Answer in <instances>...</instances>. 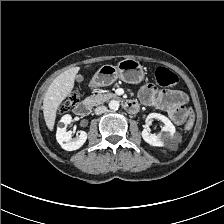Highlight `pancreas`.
<instances>
[{
  "instance_id": "obj_1",
  "label": "pancreas",
  "mask_w": 224,
  "mask_h": 224,
  "mask_svg": "<svg viewBox=\"0 0 224 224\" xmlns=\"http://www.w3.org/2000/svg\"><path fill=\"white\" fill-rule=\"evenodd\" d=\"M115 97V94H97V95H94L93 96V99L95 101L96 104H101V103H104L106 102L107 100L111 99Z\"/></svg>"
}]
</instances>
